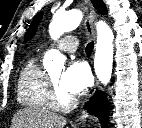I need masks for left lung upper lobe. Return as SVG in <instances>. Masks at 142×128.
<instances>
[{
	"instance_id": "5c2ea615",
	"label": "left lung upper lobe",
	"mask_w": 142,
	"mask_h": 128,
	"mask_svg": "<svg viewBox=\"0 0 142 128\" xmlns=\"http://www.w3.org/2000/svg\"><path fill=\"white\" fill-rule=\"evenodd\" d=\"M94 7L101 13L106 14V6L102 2V0H93ZM42 12H40L38 15L35 16L33 22L30 25V28L27 32V35L25 37V41L31 39L36 31V28L42 18Z\"/></svg>"
}]
</instances>
